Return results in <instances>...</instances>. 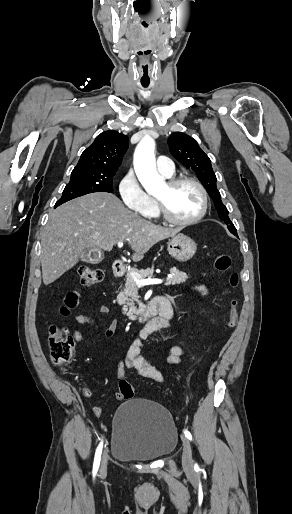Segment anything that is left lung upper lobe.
I'll return each mask as SVG.
<instances>
[{
	"instance_id": "left-lung-upper-lobe-1",
	"label": "left lung upper lobe",
	"mask_w": 292,
	"mask_h": 514,
	"mask_svg": "<svg viewBox=\"0 0 292 514\" xmlns=\"http://www.w3.org/2000/svg\"><path fill=\"white\" fill-rule=\"evenodd\" d=\"M169 150L181 164L197 175L214 201L220 219L228 225L235 236L237 231L228 217V210L221 201V195L216 187V175L212 169L209 157L200 148L195 139L181 132H175L168 138Z\"/></svg>"
}]
</instances>
